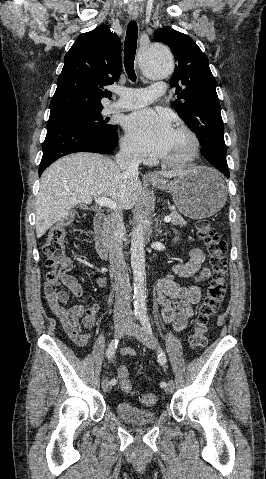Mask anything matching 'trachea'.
<instances>
[{"label":"trachea","mask_w":266,"mask_h":479,"mask_svg":"<svg viewBox=\"0 0 266 479\" xmlns=\"http://www.w3.org/2000/svg\"><path fill=\"white\" fill-rule=\"evenodd\" d=\"M138 27L135 21H130L127 27L125 44H124V67L131 81L136 80L134 70V60L137 47Z\"/></svg>","instance_id":"trachea-1"}]
</instances>
